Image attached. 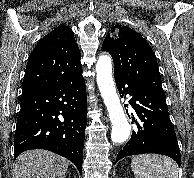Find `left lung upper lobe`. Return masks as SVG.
I'll return each instance as SVG.
<instances>
[{
	"instance_id": "5c2ea615",
	"label": "left lung upper lobe",
	"mask_w": 194,
	"mask_h": 178,
	"mask_svg": "<svg viewBox=\"0 0 194 178\" xmlns=\"http://www.w3.org/2000/svg\"><path fill=\"white\" fill-rule=\"evenodd\" d=\"M102 50L113 58L115 77L163 90L156 56L147 40L133 29L120 24L112 27Z\"/></svg>"
}]
</instances>
